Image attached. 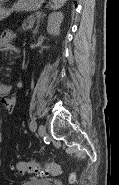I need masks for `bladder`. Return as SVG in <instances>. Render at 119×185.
<instances>
[{
  "label": "bladder",
  "mask_w": 119,
  "mask_h": 185,
  "mask_svg": "<svg viewBox=\"0 0 119 185\" xmlns=\"http://www.w3.org/2000/svg\"><path fill=\"white\" fill-rule=\"evenodd\" d=\"M21 185H53L50 181L43 179H29L21 183Z\"/></svg>",
  "instance_id": "bladder-1"
}]
</instances>
